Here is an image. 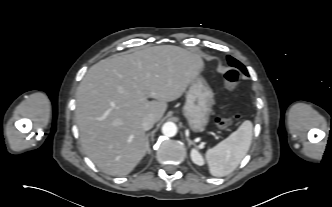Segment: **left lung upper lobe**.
Masks as SVG:
<instances>
[{
    "mask_svg": "<svg viewBox=\"0 0 332 207\" xmlns=\"http://www.w3.org/2000/svg\"><path fill=\"white\" fill-rule=\"evenodd\" d=\"M227 60L230 66L236 67L240 69L245 75H248V72L243 64H241L238 60L234 59L231 56H227Z\"/></svg>",
    "mask_w": 332,
    "mask_h": 207,
    "instance_id": "5c2ea615",
    "label": "left lung upper lobe"
}]
</instances>
